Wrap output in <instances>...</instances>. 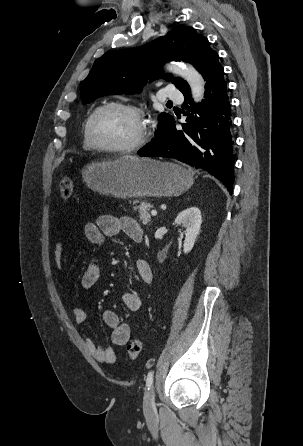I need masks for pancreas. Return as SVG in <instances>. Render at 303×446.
<instances>
[{
    "instance_id": "cf45deb5",
    "label": "pancreas",
    "mask_w": 303,
    "mask_h": 446,
    "mask_svg": "<svg viewBox=\"0 0 303 446\" xmlns=\"http://www.w3.org/2000/svg\"><path fill=\"white\" fill-rule=\"evenodd\" d=\"M138 203H139L138 200H135L133 202V204H137V206L135 207V210L138 211L139 218H140L142 224L147 225L151 221V216L148 212L151 207V204L148 202H141L140 204H138Z\"/></svg>"
}]
</instances>
